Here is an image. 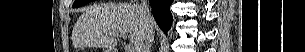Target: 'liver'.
Segmentation results:
<instances>
[{
  "label": "liver",
  "mask_w": 305,
  "mask_h": 52,
  "mask_svg": "<svg viewBox=\"0 0 305 52\" xmlns=\"http://www.w3.org/2000/svg\"><path fill=\"white\" fill-rule=\"evenodd\" d=\"M151 25L156 26L153 19ZM76 29L91 45L109 50L117 44L118 33L129 35L135 46L144 33L138 6L128 3L90 7L77 20Z\"/></svg>",
  "instance_id": "liver-1"
}]
</instances>
